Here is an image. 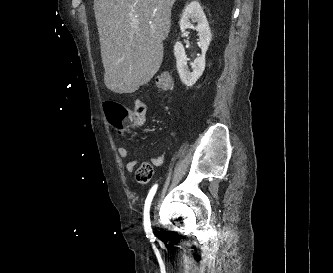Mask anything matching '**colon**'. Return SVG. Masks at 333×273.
Instances as JSON below:
<instances>
[{
    "label": "colon",
    "mask_w": 333,
    "mask_h": 273,
    "mask_svg": "<svg viewBox=\"0 0 333 273\" xmlns=\"http://www.w3.org/2000/svg\"><path fill=\"white\" fill-rule=\"evenodd\" d=\"M156 87L164 93L173 88V78L168 71H162L156 78ZM104 110L109 124L119 134L126 133L130 128L136 126V119L132 111L119 102L106 101ZM136 180L139 183H147L153 176V168L148 162H142L136 170Z\"/></svg>",
    "instance_id": "1"
}]
</instances>
